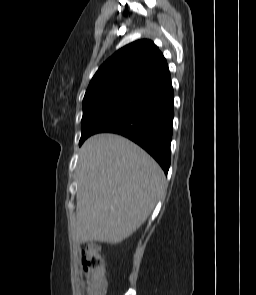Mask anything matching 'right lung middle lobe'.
<instances>
[{
  "instance_id": "obj_1",
  "label": "right lung middle lobe",
  "mask_w": 256,
  "mask_h": 295,
  "mask_svg": "<svg viewBox=\"0 0 256 295\" xmlns=\"http://www.w3.org/2000/svg\"><path fill=\"white\" fill-rule=\"evenodd\" d=\"M135 96L136 94L115 96L83 107L80 143L90 135L96 133L107 121L122 111Z\"/></svg>"
}]
</instances>
